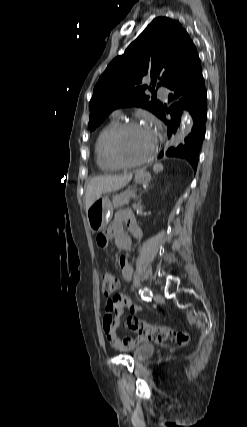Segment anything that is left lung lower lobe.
Masks as SVG:
<instances>
[{"instance_id":"obj_1","label":"left lung lower lobe","mask_w":247,"mask_h":427,"mask_svg":"<svg viewBox=\"0 0 247 427\" xmlns=\"http://www.w3.org/2000/svg\"><path fill=\"white\" fill-rule=\"evenodd\" d=\"M172 93L169 95L171 106L169 109L163 107L159 118L168 126V137L177 131L180 125L181 110L186 109L191 114L194 125L192 132L185 138L184 144L177 148H170L166 155L171 157L185 158L196 171L198 156L205 136V122L207 119L206 100L207 92L204 85L200 59H198L191 70L178 81L168 87ZM168 113L171 118H166ZM163 156V152L159 157Z\"/></svg>"}]
</instances>
